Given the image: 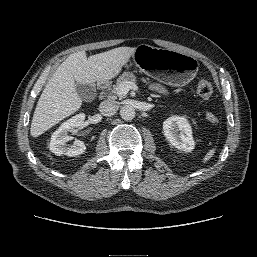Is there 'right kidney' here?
Masks as SVG:
<instances>
[{"instance_id": "1", "label": "right kidney", "mask_w": 257, "mask_h": 257, "mask_svg": "<svg viewBox=\"0 0 257 257\" xmlns=\"http://www.w3.org/2000/svg\"><path fill=\"white\" fill-rule=\"evenodd\" d=\"M84 120L85 114L80 113L62 123L51 136L49 144L50 151L57 156L67 155L74 157L83 154L86 150V146L82 141L76 140L73 145H67V142L72 139V137L68 135V132L81 126Z\"/></svg>"}]
</instances>
